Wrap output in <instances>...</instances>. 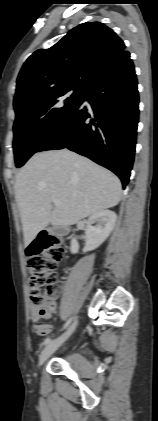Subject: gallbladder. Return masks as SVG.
<instances>
[{"label": "gallbladder", "mask_w": 158, "mask_h": 421, "mask_svg": "<svg viewBox=\"0 0 158 421\" xmlns=\"http://www.w3.org/2000/svg\"><path fill=\"white\" fill-rule=\"evenodd\" d=\"M49 231L57 236H62L65 233L64 229L55 226H49Z\"/></svg>", "instance_id": "gallbladder-1"}]
</instances>
